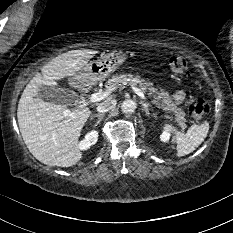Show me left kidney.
<instances>
[{"label": "left kidney", "mask_w": 233, "mask_h": 233, "mask_svg": "<svg viewBox=\"0 0 233 233\" xmlns=\"http://www.w3.org/2000/svg\"><path fill=\"white\" fill-rule=\"evenodd\" d=\"M160 139H161V141H163V142H168L169 139H170V135L167 134V133H162V134L160 135Z\"/></svg>", "instance_id": "1"}]
</instances>
